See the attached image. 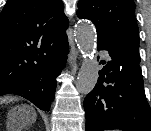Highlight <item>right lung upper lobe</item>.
Wrapping results in <instances>:
<instances>
[{"instance_id": "cb5924a9", "label": "right lung upper lobe", "mask_w": 151, "mask_h": 131, "mask_svg": "<svg viewBox=\"0 0 151 131\" xmlns=\"http://www.w3.org/2000/svg\"><path fill=\"white\" fill-rule=\"evenodd\" d=\"M67 28L61 0H8L0 14V94L41 69Z\"/></svg>"}]
</instances>
